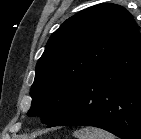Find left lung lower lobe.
Here are the masks:
<instances>
[{"mask_svg": "<svg viewBox=\"0 0 141 139\" xmlns=\"http://www.w3.org/2000/svg\"><path fill=\"white\" fill-rule=\"evenodd\" d=\"M77 125L141 139V34L93 71L47 128Z\"/></svg>", "mask_w": 141, "mask_h": 139, "instance_id": "0a47b994", "label": "left lung lower lobe"}]
</instances>
